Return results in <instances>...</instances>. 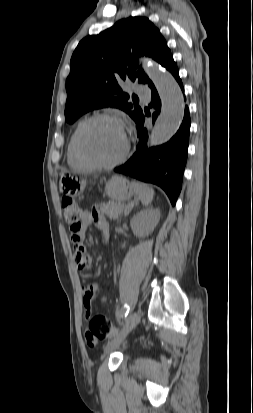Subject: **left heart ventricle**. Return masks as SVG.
<instances>
[{"instance_id":"1","label":"left heart ventricle","mask_w":253,"mask_h":413,"mask_svg":"<svg viewBox=\"0 0 253 413\" xmlns=\"http://www.w3.org/2000/svg\"><path fill=\"white\" fill-rule=\"evenodd\" d=\"M85 153L98 162H110L118 158L125 146L121 126L108 120H99L87 127L82 138Z\"/></svg>"}]
</instances>
